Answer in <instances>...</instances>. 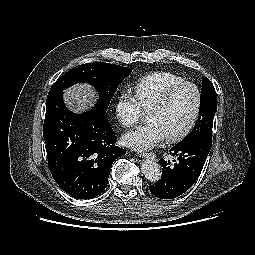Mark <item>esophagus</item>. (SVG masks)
<instances>
[{
	"mask_svg": "<svg viewBox=\"0 0 255 255\" xmlns=\"http://www.w3.org/2000/svg\"><path fill=\"white\" fill-rule=\"evenodd\" d=\"M140 157L142 158H150V159H155L156 155L154 153H140L139 154Z\"/></svg>",
	"mask_w": 255,
	"mask_h": 255,
	"instance_id": "esophagus-1",
	"label": "esophagus"
}]
</instances>
